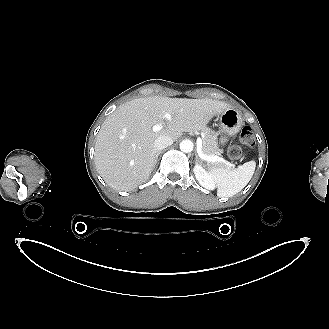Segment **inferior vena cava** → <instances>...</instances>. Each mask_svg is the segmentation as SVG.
Instances as JSON below:
<instances>
[{
	"mask_svg": "<svg viewBox=\"0 0 329 329\" xmlns=\"http://www.w3.org/2000/svg\"><path fill=\"white\" fill-rule=\"evenodd\" d=\"M173 144V139L170 138L169 136H159L155 141H154V149L155 151H161L164 148L170 146Z\"/></svg>",
	"mask_w": 329,
	"mask_h": 329,
	"instance_id": "602c4592",
	"label": "inferior vena cava"
}]
</instances>
